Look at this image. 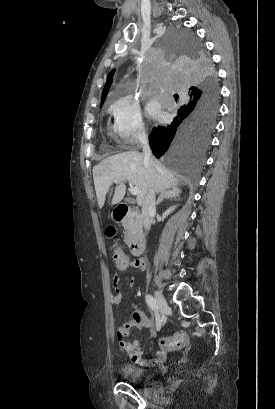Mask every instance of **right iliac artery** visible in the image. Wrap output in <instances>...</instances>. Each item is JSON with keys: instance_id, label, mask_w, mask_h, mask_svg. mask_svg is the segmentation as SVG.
Here are the masks:
<instances>
[{"instance_id": "right-iliac-artery-1", "label": "right iliac artery", "mask_w": 275, "mask_h": 409, "mask_svg": "<svg viewBox=\"0 0 275 409\" xmlns=\"http://www.w3.org/2000/svg\"><path fill=\"white\" fill-rule=\"evenodd\" d=\"M145 300H146L147 305L150 307V309L155 313L156 318H157V319H156V320H157V322H156V325H157L156 329H157V330H160L162 323H161V320H160V316H159V314H158V306H157L156 300H155V298H154L153 296H151V295H146Z\"/></svg>"}]
</instances>
